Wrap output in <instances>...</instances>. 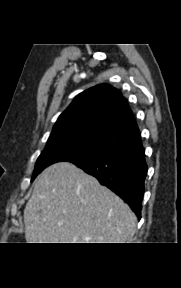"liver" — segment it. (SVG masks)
<instances>
[{"label": "liver", "instance_id": "6515ba94", "mask_svg": "<svg viewBox=\"0 0 181 288\" xmlns=\"http://www.w3.org/2000/svg\"><path fill=\"white\" fill-rule=\"evenodd\" d=\"M136 222L122 199L69 162L38 176L24 210L27 243H126Z\"/></svg>", "mask_w": 181, "mask_h": 288}]
</instances>
